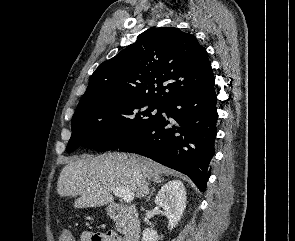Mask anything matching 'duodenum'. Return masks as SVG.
I'll return each mask as SVG.
<instances>
[{
  "mask_svg": "<svg viewBox=\"0 0 295 241\" xmlns=\"http://www.w3.org/2000/svg\"><path fill=\"white\" fill-rule=\"evenodd\" d=\"M107 212L112 219L124 222L123 241H139L141 223L138 211L134 206H122L112 203L107 206Z\"/></svg>",
  "mask_w": 295,
  "mask_h": 241,
  "instance_id": "duodenum-1",
  "label": "duodenum"
}]
</instances>
